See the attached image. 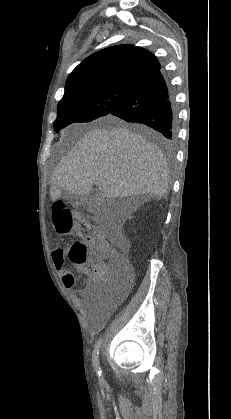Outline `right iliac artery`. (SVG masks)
<instances>
[{"label": "right iliac artery", "mask_w": 231, "mask_h": 419, "mask_svg": "<svg viewBox=\"0 0 231 419\" xmlns=\"http://www.w3.org/2000/svg\"><path fill=\"white\" fill-rule=\"evenodd\" d=\"M101 342H102V339H99L96 342L95 348H94V351H93V366H94V369H95V371H96V373H97V375H98L99 378H101V376H102V371L100 369L99 359H98V357H99V349L101 347Z\"/></svg>", "instance_id": "right-iliac-artery-1"}]
</instances>
